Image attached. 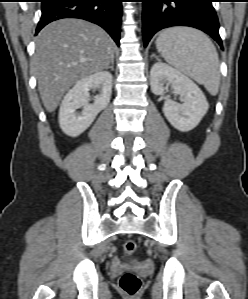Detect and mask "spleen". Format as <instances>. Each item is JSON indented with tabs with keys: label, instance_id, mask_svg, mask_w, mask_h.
Segmentation results:
<instances>
[{
	"label": "spleen",
	"instance_id": "3e777b00",
	"mask_svg": "<svg viewBox=\"0 0 248 299\" xmlns=\"http://www.w3.org/2000/svg\"><path fill=\"white\" fill-rule=\"evenodd\" d=\"M156 48L171 66L204 85L215 96L219 91L220 71L217 50L202 31L190 27L163 30Z\"/></svg>",
	"mask_w": 248,
	"mask_h": 299
}]
</instances>
